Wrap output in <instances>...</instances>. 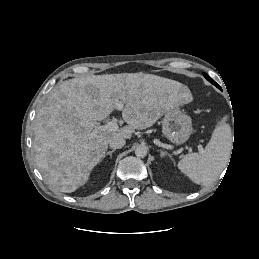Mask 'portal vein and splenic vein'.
Returning a JSON list of instances; mask_svg holds the SVG:
<instances>
[{
	"mask_svg": "<svg viewBox=\"0 0 259 259\" xmlns=\"http://www.w3.org/2000/svg\"><path fill=\"white\" fill-rule=\"evenodd\" d=\"M124 108V103L123 102H117L116 103V109L119 111H122ZM118 124L116 122V120H111L110 122H108L106 125L103 126H98L97 127V131H108V132H115L118 130ZM199 150L202 151V147H199Z\"/></svg>",
	"mask_w": 259,
	"mask_h": 259,
	"instance_id": "obj_1",
	"label": "portal vein and splenic vein"
}]
</instances>
